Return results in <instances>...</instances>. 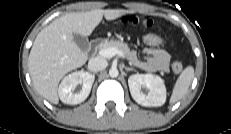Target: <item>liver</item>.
I'll use <instances>...</instances> for the list:
<instances>
[{
	"label": "liver",
	"instance_id": "6515ba94",
	"mask_svg": "<svg viewBox=\"0 0 231 134\" xmlns=\"http://www.w3.org/2000/svg\"><path fill=\"white\" fill-rule=\"evenodd\" d=\"M133 11L95 9L67 13L37 35L28 58V68L36 91L51 103L58 104V83L62 77L86 63L88 57L73 40L74 34L87 37L101 22L115 20Z\"/></svg>",
	"mask_w": 231,
	"mask_h": 134
}]
</instances>
